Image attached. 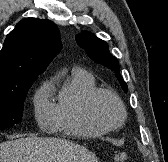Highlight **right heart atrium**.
<instances>
[{
	"instance_id": "right-heart-atrium-1",
	"label": "right heart atrium",
	"mask_w": 168,
	"mask_h": 162,
	"mask_svg": "<svg viewBox=\"0 0 168 162\" xmlns=\"http://www.w3.org/2000/svg\"><path fill=\"white\" fill-rule=\"evenodd\" d=\"M49 86L44 84L36 93L34 99L35 118L41 126L51 124L54 105L48 98Z\"/></svg>"
}]
</instances>
